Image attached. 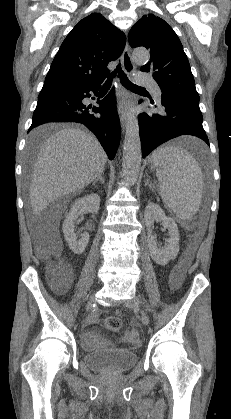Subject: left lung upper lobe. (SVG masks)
<instances>
[{
  "label": "left lung upper lobe",
  "mask_w": 231,
  "mask_h": 419,
  "mask_svg": "<svg viewBox=\"0 0 231 419\" xmlns=\"http://www.w3.org/2000/svg\"><path fill=\"white\" fill-rule=\"evenodd\" d=\"M132 47L150 50V61L141 71L153 72L162 93L199 98L187 56L174 30L161 18L144 15L130 30Z\"/></svg>",
  "instance_id": "left-lung-upper-lobe-1"
}]
</instances>
